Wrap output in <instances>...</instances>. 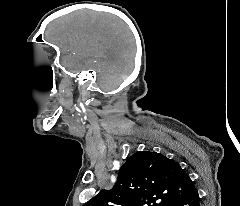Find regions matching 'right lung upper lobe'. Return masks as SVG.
<instances>
[{"label":"right lung upper lobe","mask_w":240,"mask_h":206,"mask_svg":"<svg viewBox=\"0 0 240 206\" xmlns=\"http://www.w3.org/2000/svg\"><path fill=\"white\" fill-rule=\"evenodd\" d=\"M195 189L187 173L156 152H136L121 167L110 190H101L85 206H168Z\"/></svg>","instance_id":"right-lung-upper-lobe-1"}]
</instances>
